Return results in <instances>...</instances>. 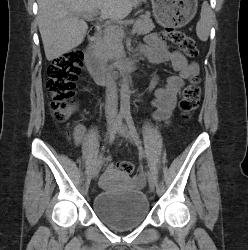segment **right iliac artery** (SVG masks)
Listing matches in <instances>:
<instances>
[{
  "mask_svg": "<svg viewBox=\"0 0 248 250\" xmlns=\"http://www.w3.org/2000/svg\"><path fill=\"white\" fill-rule=\"evenodd\" d=\"M124 117H125V114H124V113H119V114H118V116H117V118H116V120H115L114 126H113V128H112V131H111V133H110L109 140H112V139L115 138V135H116V133H117V130H118V128L120 127V125H121V123H122ZM102 150H104V146L102 147ZM101 158H102V154L100 153L98 159H101Z\"/></svg>",
  "mask_w": 248,
  "mask_h": 250,
  "instance_id": "1",
  "label": "right iliac artery"
}]
</instances>
